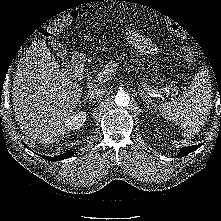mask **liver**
Listing matches in <instances>:
<instances>
[{
	"label": "liver",
	"instance_id": "obj_1",
	"mask_svg": "<svg viewBox=\"0 0 221 221\" xmlns=\"http://www.w3.org/2000/svg\"><path fill=\"white\" fill-rule=\"evenodd\" d=\"M15 73L12 102L15 119L28 137L39 143L61 140L75 115L83 87L60 69L45 40L26 51Z\"/></svg>",
	"mask_w": 221,
	"mask_h": 221
}]
</instances>
